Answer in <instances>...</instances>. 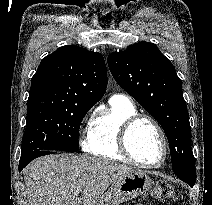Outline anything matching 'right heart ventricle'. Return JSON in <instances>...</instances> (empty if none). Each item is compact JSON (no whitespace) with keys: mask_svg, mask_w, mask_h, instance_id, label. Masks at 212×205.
Returning a JSON list of instances; mask_svg holds the SVG:
<instances>
[{"mask_svg":"<svg viewBox=\"0 0 212 205\" xmlns=\"http://www.w3.org/2000/svg\"><path fill=\"white\" fill-rule=\"evenodd\" d=\"M137 113L129 99L113 96L109 108L102 110L93 121L84 143L85 151L109 160L130 162L119 149L118 136L122 124Z\"/></svg>","mask_w":212,"mask_h":205,"instance_id":"1","label":"right heart ventricle"}]
</instances>
